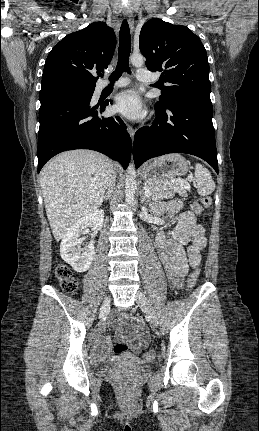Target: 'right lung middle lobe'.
<instances>
[{"label": "right lung middle lobe", "instance_id": "dd1d6c3e", "mask_svg": "<svg viewBox=\"0 0 259 431\" xmlns=\"http://www.w3.org/2000/svg\"><path fill=\"white\" fill-rule=\"evenodd\" d=\"M94 89L78 88L67 83H57L47 86L40 91V101H45L61 95L90 96Z\"/></svg>", "mask_w": 259, "mask_h": 431}]
</instances>
